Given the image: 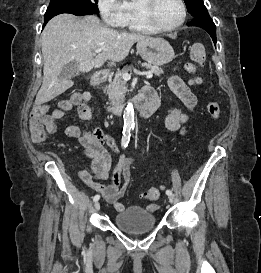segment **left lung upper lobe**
I'll return each mask as SVG.
<instances>
[{
	"label": "left lung upper lobe",
	"instance_id": "1",
	"mask_svg": "<svg viewBox=\"0 0 261 273\" xmlns=\"http://www.w3.org/2000/svg\"><path fill=\"white\" fill-rule=\"evenodd\" d=\"M188 12L193 16H198L207 12V9L203 3V0H184Z\"/></svg>",
	"mask_w": 261,
	"mask_h": 273
}]
</instances>
